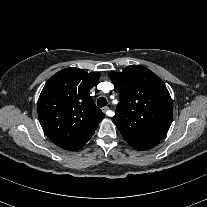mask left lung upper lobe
<instances>
[{"label": "left lung upper lobe", "mask_w": 207, "mask_h": 207, "mask_svg": "<svg viewBox=\"0 0 207 207\" xmlns=\"http://www.w3.org/2000/svg\"><path fill=\"white\" fill-rule=\"evenodd\" d=\"M109 77L120 95L113 122L133 148H153L167 134L173 117L172 101L165 84L140 65L111 72Z\"/></svg>", "instance_id": "left-lung-upper-lobe-1"}]
</instances>
